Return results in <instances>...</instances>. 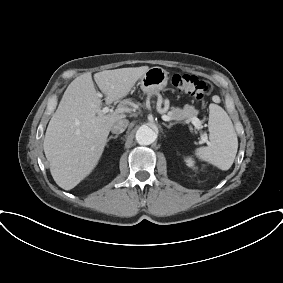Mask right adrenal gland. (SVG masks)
Segmentation results:
<instances>
[{"label":"right adrenal gland","mask_w":283,"mask_h":283,"mask_svg":"<svg viewBox=\"0 0 283 283\" xmlns=\"http://www.w3.org/2000/svg\"><path fill=\"white\" fill-rule=\"evenodd\" d=\"M117 138H118V135L110 136V137L107 139V142H109L111 139H117Z\"/></svg>","instance_id":"obj_1"}]
</instances>
